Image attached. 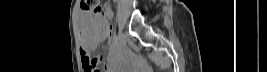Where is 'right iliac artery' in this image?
I'll use <instances>...</instances> for the list:
<instances>
[{"label": "right iliac artery", "instance_id": "right-iliac-artery-1", "mask_svg": "<svg viewBox=\"0 0 267 72\" xmlns=\"http://www.w3.org/2000/svg\"><path fill=\"white\" fill-rule=\"evenodd\" d=\"M113 39H114V42H118V40H119V35H114V37H113Z\"/></svg>", "mask_w": 267, "mask_h": 72}]
</instances>
